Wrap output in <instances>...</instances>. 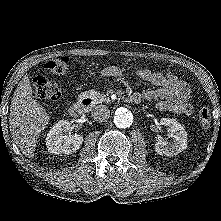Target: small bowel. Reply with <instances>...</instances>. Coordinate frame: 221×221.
<instances>
[{"label":"small bowel","mask_w":221,"mask_h":221,"mask_svg":"<svg viewBox=\"0 0 221 221\" xmlns=\"http://www.w3.org/2000/svg\"><path fill=\"white\" fill-rule=\"evenodd\" d=\"M122 75L121 69L116 66L105 67L100 72L102 78L121 77ZM138 76L155 86V88L146 89L141 93H134L140 96V101L141 99L157 101V108L160 111L185 116L192 114L193 107L188 102L190 89L186 82L170 72H153L148 69L138 70Z\"/></svg>","instance_id":"small-bowel-1"}]
</instances>
